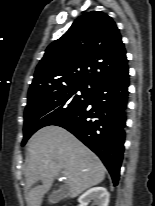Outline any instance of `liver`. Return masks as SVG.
Returning a JSON list of instances; mask_svg holds the SVG:
<instances>
[{"label": "liver", "instance_id": "6515ba94", "mask_svg": "<svg viewBox=\"0 0 155 206\" xmlns=\"http://www.w3.org/2000/svg\"><path fill=\"white\" fill-rule=\"evenodd\" d=\"M30 159L26 168V184L32 187L38 181L42 185L29 189L28 206H40L62 171L65 177L66 195L77 197L86 189L98 185L105 178V167L100 159L67 130L58 126H46L38 130L28 142Z\"/></svg>", "mask_w": 155, "mask_h": 206}]
</instances>
